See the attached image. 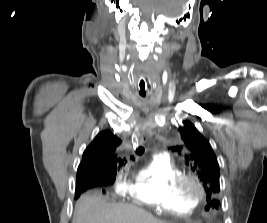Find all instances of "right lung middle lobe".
Masks as SVG:
<instances>
[{
  "label": "right lung middle lobe",
  "instance_id": "1",
  "mask_svg": "<svg viewBox=\"0 0 267 223\" xmlns=\"http://www.w3.org/2000/svg\"><path fill=\"white\" fill-rule=\"evenodd\" d=\"M116 169L117 168H109L102 177L109 182L114 181L116 178ZM78 197L79 195L76 196V198Z\"/></svg>",
  "mask_w": 267,
  "mask_h": 223
}]
</instances>
